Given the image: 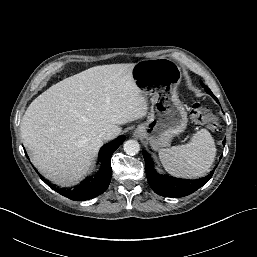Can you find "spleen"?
<instances>
[{"mask_svg": "<svg viewBox=\"0 0 257 257\" xmlns=\"http://www.w3.org/2000/svg\"><path fill=\"white\" fill-rule=\"evenodd\" d=\"M215 156V142L207 129L197 131L187 144L159 150V158L165 170L174 177L185 179L204 176Z\"/></svg>", "mask_w": 257, "mask_h": 257, "instance_id": "3e777b00", "label": "spleen"}]
</instances>
